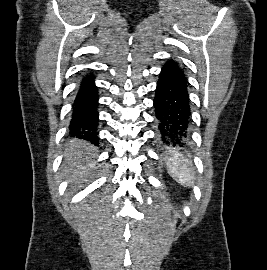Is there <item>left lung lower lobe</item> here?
Masks as SVG:
<instances>
[{
  "mask_svg": "<svg viewBox=\"0 0 267 270\" xmlns=\"http://www.w3.org/2000/svg\"><path fill=\"white\" fill-rule=\"evenodd\" d=\"M187 80L179 65L168 60L155 90L154 108L158 138L165 146H182L191 134V111Z\"/></svg>",
  "mask_w": 267,
  "mask_h": 270,
  "instance_id": "0a47b994",
  "label": "left lung lower lobe"
}]
</instances>
